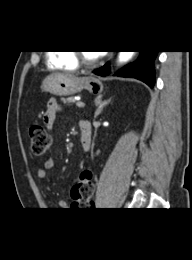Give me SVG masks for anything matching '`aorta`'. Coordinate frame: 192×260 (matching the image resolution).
Returning a JSON list of instances; mask_svg holds the SVG:
<instances>
[{"label":"aorta","mask_w":192,"mask_h":260,"mask_svg":"<svg viewBox=\"0 0 192 260\" xmlns=\"http://www.w3.org/2000/svg\"><path fill=\"white\" fill-rule=\"evenodd\" d=\"M134 53H135L134 51H120L118 56V61L121 63L127 62L133 57Z\"/></svg>","instance_id":"aorta-1"}]
</instances>
